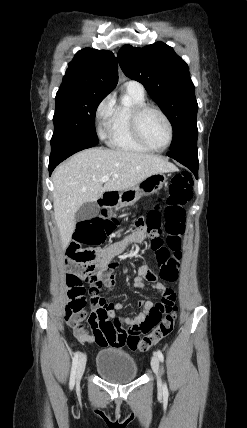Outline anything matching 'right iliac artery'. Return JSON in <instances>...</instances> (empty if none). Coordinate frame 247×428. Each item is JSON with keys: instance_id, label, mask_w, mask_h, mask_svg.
<instances>
[{"instance_id": "1", "label": "right iliac artery", "mask_w": 247, "mask_h": 428, "mask_svg": "<svg viewBox=\"0 0 247 428\" xmlns=\"http://www.w3.org/2000/svg\"><path fill=\"white\" fill-rule=\"evenodd\" d=\"M79 357H80V352H76L73 357L72 368H71V375H70V382H69L70 389H73L75 384L76 368H77Z\"/></svg>"}]
</instances>
